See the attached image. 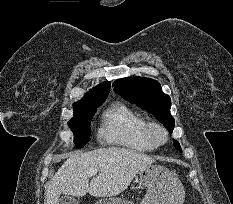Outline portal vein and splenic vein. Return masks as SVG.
Instances as JSON below:
<instances>
[{
	"label": "portal vein and splenic vein",
	"mask_w": 233,
	"mask_h": 204,
	"mask_svg": "<svg viewBox=\"0 0 233 204\" xmlns=\"http://www.w3.org/2000/svg\"><path fill=\"white\" fill-rule=\"evenodd\" d=\"M97 172H98L97 169H89V170L87 171V174H88V176H94V175L97 174Z\"/></svg>",
	"instance_id": "portal-vein-and-splenic-vein-1"
}]
</instances>
